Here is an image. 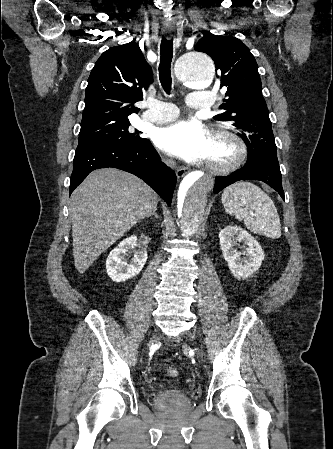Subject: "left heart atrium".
Wrapping results in <instances>:
<instances>
[{
  "mask_svg": "<svg viewBox=\"0 0 333 449\" xmlns=\"http://www.w3.org/2000/svg\"><path fill=\"white\" fill-rule=\"evenodd\" d=\"M154 141L168 155L187 162H197L206 159L211 137L199 123L180 120L158 129Z\"/></svg>",
  "mask_w": 333,
  "mask_h": 449,
  "instance_id": "39dd6f15",
  "label": "left heart atrium"
}]
</instances>
